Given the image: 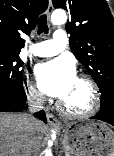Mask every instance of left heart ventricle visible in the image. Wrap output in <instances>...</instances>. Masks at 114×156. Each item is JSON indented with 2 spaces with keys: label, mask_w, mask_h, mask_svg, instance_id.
<instances>
[{
  "label": "left heart ventricle",
  "mask_w": 114,
  "mask_h": 156,
  "mask_svg": "<svg viewBox=\"0 0 114 156\" xmlns=\"http://www.w3.org/2000/svg\"><path fill=\"white\" fill-rule=\"evenodd\" d=\"M61 101L70 111H85L92 101L90 88L85 82L76 78L71 90Z\"/></svg>",
  "instance_id": "b2bd125f"
}]
</instances>
